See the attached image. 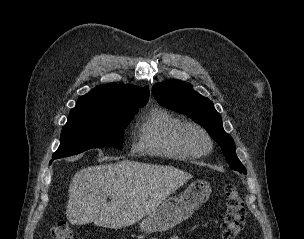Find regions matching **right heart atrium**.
I'll use <instances>...</instances> for the list:
<instances>
[{
  "instance_id": "right-heart-atrium-1",
  "label": "right heart atrium",
  "mask_w": 304,
  "mask_h": 239,
  "mask_svg": "<svg viewBox=\"0 0 304 239\" xmlns=\"http://www.w3.org/2000/svg\"><path fill=\"white\" fill-rule=\"evenodd\" d=\"M133 146H137V144H136V143H134V144H133Z\"/></svg>"
}]
</instances>
